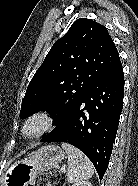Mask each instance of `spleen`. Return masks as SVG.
Segmentation results:
<instances>
[{"instance_id": "1", "label": "spleen", "mask_w": 138, "mask_h": 186, "mask_svg": "<svg viewBox=\"0 0 138 186\" xmlns=\"http://www.w3.org/2000/svg\"><path fill=\"white\" fill-rule=\"evenodd\" d=\"M62 148L68 155L67 181L78 183L85 181L94 174V167L91 161L76 147L62 143Z\"/></svg>"}]
</instances>
